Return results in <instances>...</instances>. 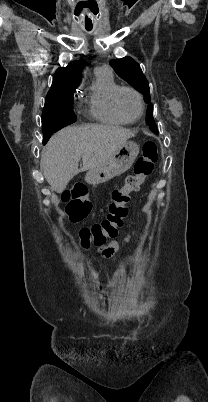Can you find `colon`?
<instances>
[{
  "label": "colon",
  "mask_w": 208,
  "mask_h": 402,
  "mask_svg": "<svg viewBox=\"0 0 208 402\" xmlns=\"http://www.w3.org/2000/svg\"><path fill=\"white\" fill-rule=\"evenodd\" d=\"M157 145L153 141L143 144L142 154L134 164V173L127 176L124 184L111 191V202L108 216L102 221L85 227L78 232L80 246L84 249L92 244L104 245L110 237H115L128 216L127 204L130 195L138 191L143 180L153 172L157 160ZM87 196V187L84 183H77L70 192V197L80 198ZM91 205L68 204L65 209L66 223L82 222L83 214H91Z\"/></svg>",
  "instance_id": "colon-1"
}]
</instances>
